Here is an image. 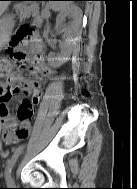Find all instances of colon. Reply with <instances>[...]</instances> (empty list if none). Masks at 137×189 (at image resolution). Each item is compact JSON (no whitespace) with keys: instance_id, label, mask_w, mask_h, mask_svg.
Here are the masks:
<instances>
[{"instance_id":"colon-1","label":"colon","mask_w":137,"mask_h":189,"mask_svg":"<svg viewBox=\"0 0 137 189\" xmlns=\"http://www.w3.org/2000/svg\"><path fill=\"white\" fill-rule=\"evenodd\" d=\"M38 41L35 30L29 26H21L14 32L6 48L7 56H0V85L8 81L15 63H23L22 47L28 43H37ZM19 111L21 117L25 115V112L27 115H31L33 107L26 100L20 105Z\"/></svg>"}]
</instances>
